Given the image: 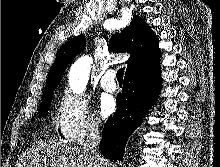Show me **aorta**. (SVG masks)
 I'll return each instance as SVG.
<instances>
[{
	"label": "aorta",
	"mask_w": 220,
	"mask_h": 167,
	"mask_svg": "<svg viewBox=\"0 0 220 167\" xmlns=\"http://www.w3.org/2000/svg\"><path fill=\"white\" fill-rule=\"evenodd\" d=\"M92 59L82 57L75 62L69 74V83L75 93H82L88 83Z\"/></svg>",
	"instance_id": "aorta-1"
}]
</instances>
